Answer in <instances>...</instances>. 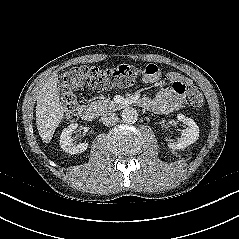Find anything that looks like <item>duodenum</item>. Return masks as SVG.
Returning a JSON list of instances; mask_svg holds the SVG:
<instances>
[{"label":"duodenum","instance_id":"410a0bca","mask_svg":"<svg viewBox=\"0 0 239 239\" xmlns=\"http://www.w3.org/2000/svg\"><path fill=\"white\" fill-rule=\"evenodd\" d=\"M137 104L142 108H147L148 109V107H149V102H148L147 99H140V100L137 101ZM79 116L84 121H92L95 118V111L89 105H82L79 108Z\"/></svg>","mask_w":239,"mask_h":239}]
</instances>
